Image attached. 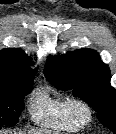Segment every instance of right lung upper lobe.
<instances>
[{
    "instance_id": "right-lung-upper-lobe-1",
    "label": "right lung upper lobe",
    "mask_w": 116,
    "mask_h": 134,
    "mask_svg": "<svg viewBox=\"0 0 116 134\" xmlns=\"http://www.w3.org/2000/svg\"><path fill=\"white\" fill-rule=\"evenodd\" d=\"M31 58L18 48H8L0 51V90L19 91L34 77Z\"/></svg>"
}]
</instances>
